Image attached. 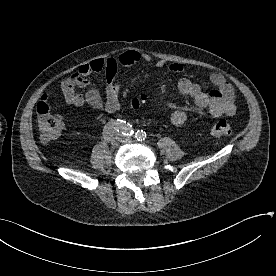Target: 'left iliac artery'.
Here are the masks:
<instances>
[{"instance_id":"44dca946","label":"left iliac artery","mask_w":276,"mask_h":276,"mask_svg":"<svg viewBox=\"0 0 276 276\" xmlns=\"http://www.w3.org/2000/svg\"><path fill=\"white\" fill-rule=\"evenodd\" d=\"M135 137L138 141H143L146 138V133L143 130H137L135 132Z\"/></svg>"}]
</instances>
